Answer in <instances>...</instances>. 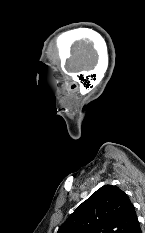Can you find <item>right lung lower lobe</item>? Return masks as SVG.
Here are the masks:
<instances>
[{
    "mask_svg": "<svg viewBox=\"0 0 145 233\" xmlns=\"http://www.w3.org/2000/svg\"><path fill=\"white\" fill-rule=\"evenodd\" d=\"M130 233H141V228H140V224H139L138 220L135 222Z\"/></svg>",
    "mask_w": 145,
    "mask_h": 233,
    "instance_id": "98d812e1",
    "label": "right lung lower lobe"
}]
</instances>
